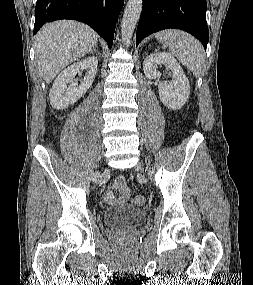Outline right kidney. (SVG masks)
Wrapping results in <instances>:
<instances>
[{
  "mask_svg": "<svg viewBox=\"0 0 253 285\" xmlns=\"http://www.w3.org/2000/svg\"><path fill=\"white\" fill-rule=\"evenodd\" d=\"M98 59L94 56L73 63L65 68L55 79L50 90V104L63 110L79 100L91 87L97 72ZM86 69V75L78 85L75 76Z\"/></svg>",
  "mask_w": 253,
  "mask_h": 285,
  "instance_id": "obj_1",
  "label": "right kidney"
}]
</instances>
